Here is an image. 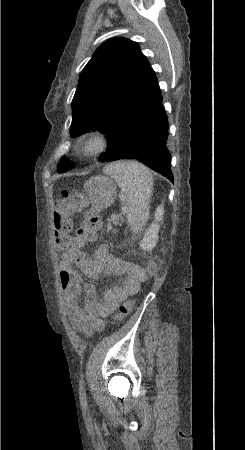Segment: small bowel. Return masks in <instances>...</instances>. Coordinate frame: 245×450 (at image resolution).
<instances>
[{"instance_id":"c3829d8e","label":"small bowel","mask_w":245,"mask_h":450,"mask_svg":"<svg viewBox=\"0 0 245 450\" xmlns=\"http://www.w3.org/2000/svg\"><path fill=\"white\" fill-rule=\"evenodd\" d=\"M78 266L87 276L96 278L106 275L124 276L122 284L115 285L99 298L94 284L82 282ZM60 282L66 291V313L79 332L89 334L104 328L103 318L113 313L120 301L138 291L144 281L141 267L110 255L105 245L99 246L91 256L76 249H69L60 262ZM83 300V306L80 301Z\"/></svg>"}]
</instances>
